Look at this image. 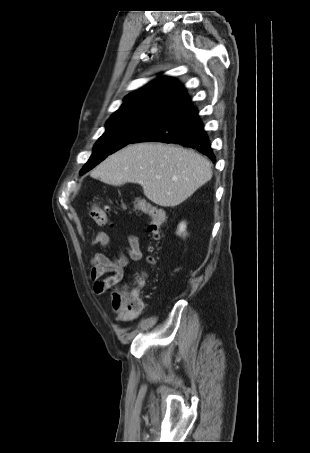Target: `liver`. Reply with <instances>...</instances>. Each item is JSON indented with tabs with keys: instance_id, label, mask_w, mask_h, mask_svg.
I'll list each match as a JSON object with an SVG mask.
<instances>
[{
	"instance_id": "liver-1",
	"label": "liver",
	"mask_w": 310,
	"mask_h": 453,
	"mask_svg": "<svg viewBox=\"0 0 310 453\" xmlns=\"http://www.w3.org/2000/svg\"><path fill=\"white\" fill-rule=\"evenodd\" d=\"M90 175L112 186L138 183L153 203L174 207L207 183L212 170L211 163L193 150L146 142L110 155Z\"/></svg>"
}]
</instances>
